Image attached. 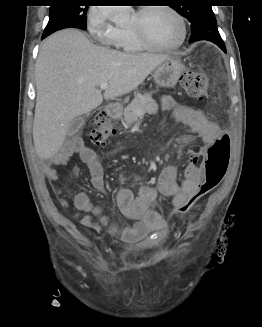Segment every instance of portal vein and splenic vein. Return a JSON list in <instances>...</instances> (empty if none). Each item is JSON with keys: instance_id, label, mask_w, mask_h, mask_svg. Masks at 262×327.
<instances>
[{"instance_id": "18ae733b", "label": "portal vein and splenic vein", "mask_w": 262, "mask_h": 327, "mask_svg": "<svg viewBox=\"0 0 262 327\" xmlns=\"http://www.w3.org/2000/svg\"><path fill=\"white\" fill-rule=\"evenodd\" d=\"M100 89L102 90H105L108 88V83L107 82H102L100 85H99ZM139 113V112H138Z\"/></svg>"}]
</instances>
